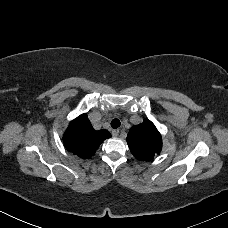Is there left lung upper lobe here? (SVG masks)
<instances>
[{
    "label": "left lung upper lobe",
    "mask_w": 228,
    "mask_h": 228,
    "mask_svg": "<svg viewBox=\"0 0 228 228\" xmlns=\"http://www.w3.org/2000/svg\"><path fill=\"white\" fill-rule=\"evenodd\" d=\"M127 143L134 157L139 160H152L162 149L161 135L148 119L130 129Z\"/></svg>",
    "instance_id": "left-lung-upper-lobe-1"
}]
</instances>
